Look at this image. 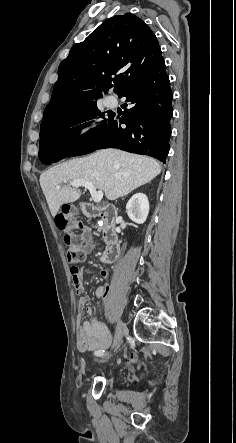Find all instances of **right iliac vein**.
Returning a JSON list of instances; mask_svg holds the SVG:
<instances>
[{
    "mask_svg": "<svg viewBox=\"0 0 236 443\" xmlns=\"http://www.w3.org/2000/svg\"><path fill=\"white\" fill-rule=\"evenodd\" d=\"M125 330H126V325H125V323L122 322V321H120V322L117 324V327H116V331H115V336H114V341H113V346H112V348H115V347H117V346L119 345V343L121 342L122 337H123V335H124V333H125Z\"/></svg>",
    "mask_w": 236,
    "mask_h": 443,
    "instance_id": "63e3f726",
    "label": "right iliac vein"
}]
</instances>
